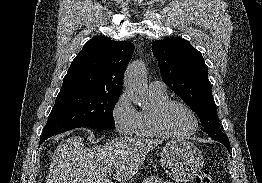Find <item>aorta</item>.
Segmentation results:
<instances>
[{"instance_id": "1", "label": "aorta", "mask_w": 262, "mask_h": 183, "mask_svg": "<svg viewBox=\"0 0 262 183\" xmlns=\"http://www.w3.org/2000/svg\"><path fill=\"white\" fill-rule=\"evenodd\" d=\"M124 87L131 101L141 108L148 105V89L145 79V66L142 62L131 63L125 72Z\"/></svg>"}]
</instances>
